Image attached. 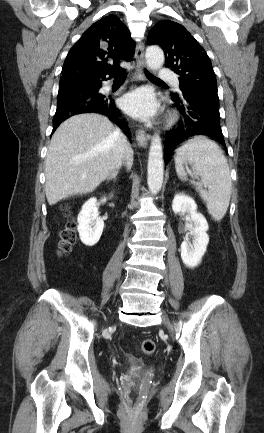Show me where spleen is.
Segmentation results:
<instances>
[{
  "label": "spleen",
  "mask_w": 264,
  "mask_h": 433,
  "mask_svg": "<svg viewBox=\"0 0 264 433\" xmlns=\"http://www.w3.org/2000/svg\"><path fill=\"white\" fill-rule=\"evenodd\" d=\"M174 160L177 176L183 181L187 180L184 165H192L193 173L201 180L191 183L206 202L209 214L220 221L227 212L232 191L229 166L220 147L204 136H197L176 150Z\"/></svg>",
  "instance_id": "obj_1"
}]
</instances>
